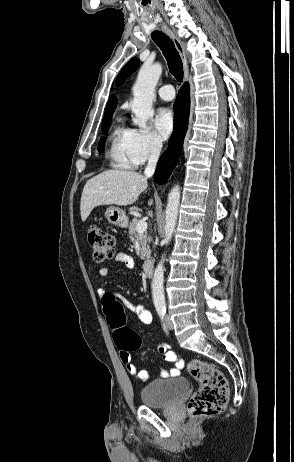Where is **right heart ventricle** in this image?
Instances as JSON below:
<instances>
[{
  "label": "right heart ventricle",
  "instance_id": "e07e8e85",
  "mask_svg": "<svg viewBox=\"0 0 294 462\" xmlns=\"http://www.w3.org/2000/svg\"><path fill=\"white\" fill-rule=\"evenodd\" d=\"M130 129L117 124L112 129L108 138L106 157L109 165L117 169H131L135 165L129 153Z\"/></svg>",
  "mask_w": 294,
  "mask_h": 462
}]
</instances>
